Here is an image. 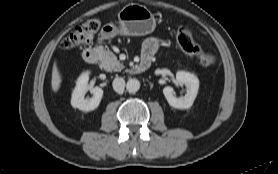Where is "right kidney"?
<instances>
[{"mask_svg": "<svg viewBox=\"0 0 278 174\" xmlns=\"http://www.w3.org/2000/svg\"><path fill=\"white\" fill-rule=\"evenodd\" d=\"M88 80V71L80 75L71 98V105L74 108H78L79 110L86 112L96 109L99 106L103 96V90L100 87H94L91 89V92L93 94L92 98H85V94L89 89Z\"/></svg>", "mask_w": 278, "mask_h": 174, "instance_id": "1", "label": "right kidney"}]
</instances>
